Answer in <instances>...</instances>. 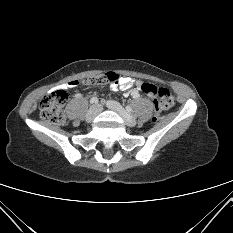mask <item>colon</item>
Instances as JSON below:
<instances>
[{
	"label": "colon",
	"instance_id": "colon-1",
	"mask_svg": "<svg viewBox=\"0 0 233 233\" xmlns=\"http://www.w3.org/2000/svg\"><path fill=\"white\" fill-rule=\"evenodd\" d=\"M106 73H100L89 77L83 81L86 85H106L111 84L110 79H105ZM118 75V74H117ZM119 76V75H118ZM142 92L152 96L154 99L155 110L157 113L171 109L175 104V98L169 89L165 87H156L150 83H143ZM68 101V94L63 89L57 92L47 94L40 103V116L49 123L61 125L65 122L64 106ZM157 117L153 118L156 121Z\"/></svg>",
	"mask_w": 233,
	"mask_h": 233
}]
</instances>
